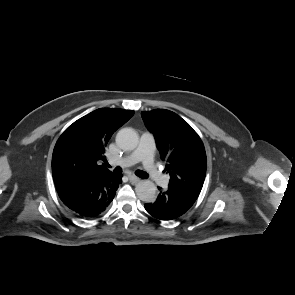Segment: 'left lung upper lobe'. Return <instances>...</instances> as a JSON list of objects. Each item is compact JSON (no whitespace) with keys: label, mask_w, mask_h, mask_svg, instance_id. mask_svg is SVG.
I'll return each instance as SVG.
<instances>
[{"label":"left lung upper lobe","mask_w":295,"mask_h":295,"mask_svg":"<svg viewBox=\"0 0 295 295\" xmlns=\"http://www.w3.org/2000/svg\"><path fill=\"white\" fill-rule=\"evenodd\" d=\"M146 127L155 136L169 186L200 194L206 175L207 159L202 140L179 115L155 109L141 113Z\"/></svg>","instance_id":"obj_1"}]
</instances>
